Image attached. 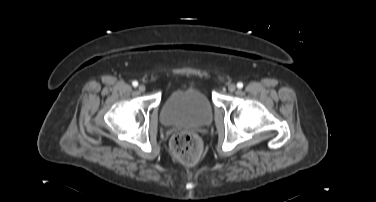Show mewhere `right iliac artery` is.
Segmentation results:
<instances>
[{"mask_svg":"<svg viewBox=\"0 0 376 202\" xmlns=\"http://www.w3.org/2000/svg\"><path fill=\"white\" fill-rule=\"evenodd\" d=\"M132 85H133L134 87H137V86H138V82H137V81H133V82H132Z\"/></svg>","mask_w":376,"mask_h":202,"instance_id":"82829eb1","label":"right iliac artery"}]
</instances>
